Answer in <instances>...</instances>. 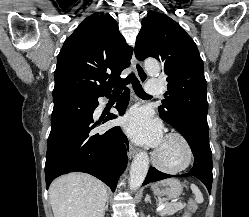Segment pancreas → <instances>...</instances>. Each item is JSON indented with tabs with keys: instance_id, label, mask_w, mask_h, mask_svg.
<instances>
[{
	"instance_id": "obj_1",
	"label": "pancreas",
	"mask_w": 249,
	"mask_h": 217,
	"mask_svg": "<svg viewBox=\"0 0 249 217\" xmlns=\"http://www.w3.org/2000/svg\"><path fill=\"white\" fill-rule=\"evenodd\" d=\"M163 203L165 202L164 201L160 202V204H163ZM165 204H166L165 208L160 211V215L162 217L165 215H168V216L173 215L186 206L184 203H181V202L165 203Z\"/></svg>"
}]
</instances>
